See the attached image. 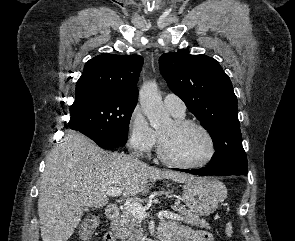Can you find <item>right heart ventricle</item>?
Segmentation results:
<instances>
[{
    "label": "right heart ventricle",
    "mask_w": 295,
    "mask_h": 241,
    "mask_svg": "<svg viewBox=\"0 0 295 241\" xmlns=\"http://www.w3.org/2000/svg\"><path fill=\"white\" fill-rule=\"evenodd\" d=\"M176 119H183L184 116H176V115H173Z\"/></svg>",
    "instance_id": "1"
}]
</instances>
